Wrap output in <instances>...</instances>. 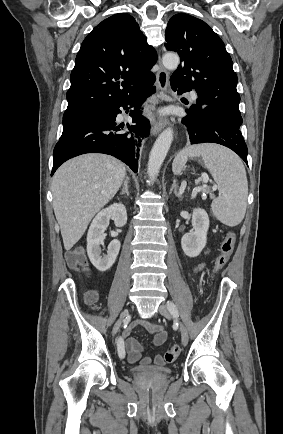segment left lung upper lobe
<instances>
[{
	"label": "left lung upper lobe",
	"mask_w": 283,
	"mask_h": 434,
	"mask_svg": "<svg viewBox=\"0 0 283 434\" xmlns=\"http://www.w3.org/2000/svg\"><path fill=\"white\" fill-rule=\"evenodd\" d=\"M165 47L179 54L181 63L171 80L198 93L200 106L220 107L240 114L237 75L220 37L202 20L185 13L171 17L165 32Z\"/></svg>",
	"instance_id": "obj_1"
}]
</instances>
